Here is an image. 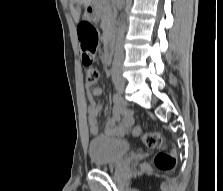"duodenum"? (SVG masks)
<instances>
[{
	"label": "duodenum",
	"instance_id": "obj_1",
	"mask_svg": "<svg viewBox=\"0 0 223 191\" xmlns=\"http://www.w3.org/2000/svg\"><path fill=\"white\" fill-rule=\"evenodd\" d=\"M86 14L88 16H93L95 14V9L93 6H88L86 8ZM111 49H112V41H111V38L110 37H106L105 39V56L107 58L110 57L111 55Z\"/></svg>",
	"mask_w": 223,
	"mask_h": 191
}]
</instances>
